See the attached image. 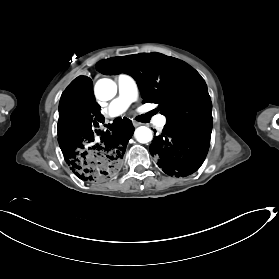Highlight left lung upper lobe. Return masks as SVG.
I'll return each mask as SVG.
<instances>
[{"instance_id": "1", "label": "left lung upper lobe", "mask_w": 279, "mask_h": 279, "mask_svg": "<svg viewBox=\"0 0 279 279\" xmlns=\"http://www.w3.org/2000/svg\"><path fill=\"white\" fill-rule=\"evenodd\" d=\"M96 69L103 74L131 75L137 81L144 103H157L167 124L212 125V104L204 80L177 58L141 53L101 60Z\"/></svg>"}]
</instances>
